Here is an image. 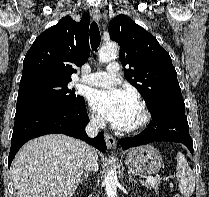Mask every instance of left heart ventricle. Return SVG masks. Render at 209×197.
<instances>
[{"mask_svg":"<svg viewBox=\"0 0 209 197\" xmlns=\"http://www.w3.org/2000/svg\"><path fill=\"white\" fill-rule=\"evenodd\" d=\"M139 117H140V111H139V108H138L137 111H136V113H135V116H134V119L132 121L131 126L135 125L138 122Z\"/></svg>","mask_w":209,"mask_h":197,"instance_id":"1","label":"left heart ventricle"}]
</instances>
